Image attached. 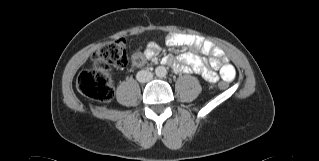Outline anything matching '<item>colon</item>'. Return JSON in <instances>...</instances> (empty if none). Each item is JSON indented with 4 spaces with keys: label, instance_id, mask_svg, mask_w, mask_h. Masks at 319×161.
<instances>
[{
    "label": "colon",
    "instance_id": "obj_1",
    "mask_svg": "<svg viewBox=\"0 0 319 161\" xmlns=\"http://www.w3.org/2000/svg\"><path fill=\"white\" fill-rule=\"evenodd\" d=\"M145 61L142 52L129 55L127 52V40L116 38L104 44L93 59V64L81 71L77 77L78 91L96 101H109L114 95V81L110 72V65L117 68L141 66ZM221 89L226 87L225 82H220Z\"/></svg>",
    "mask_w": 319,
    "mask_h": 161
}]
</instances>
